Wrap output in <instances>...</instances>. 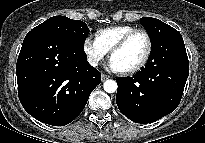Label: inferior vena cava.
Instances as JSON below:
<instances>
[{"mask_svg":"<svg viewBox=\"0 0 205 143\" xmlns=\"http://www.w3.org/2000/svg\"><path fill=\"white\" fill-rule=\"evenodd\" d=\"M88 62L93 67H96L98 65V60L96 58H89Z\"/></svg>","mask_w":205,"mask_h":143,"instance_id":"inferior-vena-cava-1","label":"inferior vena cava"}]
</instances>
